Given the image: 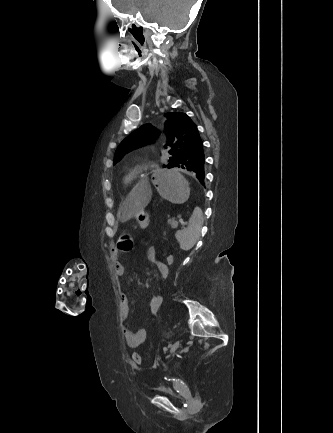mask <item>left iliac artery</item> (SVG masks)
Here are the masks:
<instances>
[{
    "instance_id": "44dca946",
    "label": "left iliac artery",
    "mask_w": 333,
    "mask_h": 433,
    "mask_svg": "<svg viewBox=\"0 0 333 433\" xmlns=\"http://www.w3.org/2000/svg\"><path fill=\"white\" fill-rule=\"evenodd\" d=\"M172 347V344L169 343L167 347H165V349Z\"/></svg>"
}]
</instances>
